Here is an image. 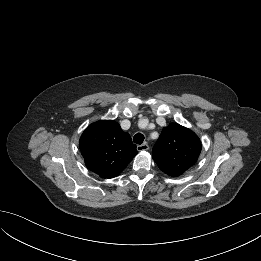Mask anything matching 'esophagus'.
Returning <instances> with one entry per match:
<instances>
[{
    "label": "esophagus",
    "instance_id": "1",
    "mask_svg": "<svg viewBox=\"0 0 261 261\" xmlns=\"http://www.w3.org/2000/svg\"><path fill=\"white\" fill-rule=\"evenodd\" d=\"M148 149H149V146L147 143H143V144L137 146L138 151H146Z\"/></svg>",
    "mask_w": 261,
    "mask_h": 261
}]
</instances>
